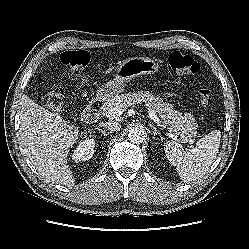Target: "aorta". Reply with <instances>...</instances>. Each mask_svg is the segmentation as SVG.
Segmentation results:
<instances>
[{"mask_svg":"<svg viewBox=\"0 0 249 249\" xmlns=\"http://www.w3.org/2000/svg\"><path fill=\"white\" fill-rule=\"evenodd\" d=\"M128 137L132 143L141 144L146 138V132L141 127H135L129 131Z\"/></svg>","mask_w":249,"mask_h":249,"instance_id":"obj_1","label":"aorta"}]
</instances>
